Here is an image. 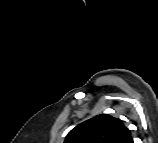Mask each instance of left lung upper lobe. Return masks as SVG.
<instances>
[{
    "label": "left lung upper lobe",
    "mask_w": 158,
    "mask_h": 143,
    "mask_svg": "<svg viewBox=\"0 0 158 143\" xmlns=\"http://www.w3.org/2000/svg\"><path fill=\"white\" fill-rule=\"evenodd\" d=\"M127 126L111 114H99L72 129L64 143H130Z\"/></svg>",
    "instance_id": "1"
}]
</instances>
